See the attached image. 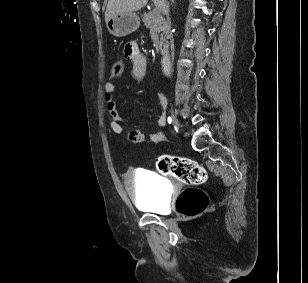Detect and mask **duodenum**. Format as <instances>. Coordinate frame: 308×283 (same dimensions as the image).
Listing matches in <instances>:
<instances>
[{
    "label": "duodenum",
    "mask_w": 308,
    "mask_h": 283,
    "mask_svg": "<svg viewBox=\"0 0 308 283\" xmlns=\"http://www.w3.org/2000/svg\"><path fill=\"white\" fill-rule=\"evenodd\" d=\"M161 67L164 73H169L170 71V55L168 52H164L161 58Z\"/></svg>",
    "instance_id": "obj_1"
}]
</instances>
